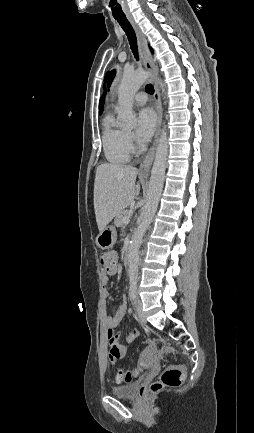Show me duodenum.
<instances>
[{
    "instance_id": "duodenum-1",
    "label": "duodenum",
    "mask_w": 254,
    "mask_h": 433,
    "mask_svg": "<svg viewBox=\"0 0 254 433\" xmlns=\"http://www.w3.org/2000/svg\"><path fill=\"white\" fill-rule=\"evenodd\" d=\"M130 254H131V244L129 242L126 243L125 246V265L128 266L130 264Z\"/></svg>"
}]
</instances>
